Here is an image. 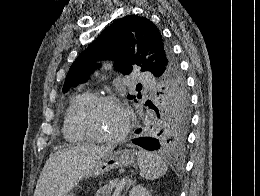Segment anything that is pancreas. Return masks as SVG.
I'll return each mask as SVG.
<instances>
[{"label": "pancreas", "mask_w": 260, "mask_h": 196, "mask_svg": "<svg viewBox=\"0 0 260 196\" xmlns=\"http://www.w3.org/2000/svg\"><path fill=\"white\" fill-rule=\"evenodd\" d=\"M118 184H119L118 178H116V180H111V182H109V184H105V186H103V188H99V190H97L95 196H111V192H112L113 188H115V186H118Z\"/></svg>", "instance_id": "obj_1"}]
</instances>
